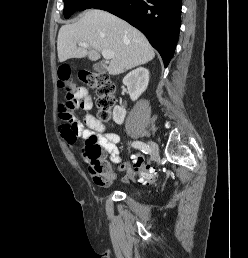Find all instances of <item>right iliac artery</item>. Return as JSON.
Masks as SVG:
<instances>
[{"label":"right iliac artery","mask_w":248,"mask_h":258,"mask_svg":"<svg viewBox=\"0 0 248 258\" xmlns=\"http://www.w3.org/2000/svg\"><path fill=\"white\" fill-rule=\"evenodd\" d=\"M132 146L141 150L143 153H148L150 151L149 146L141 141H134L132 143Z\"/></svg>","instance_id":"obj_1"}]
</instances>
